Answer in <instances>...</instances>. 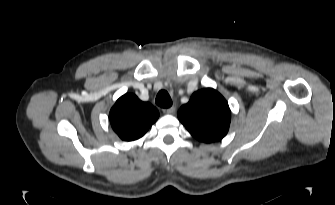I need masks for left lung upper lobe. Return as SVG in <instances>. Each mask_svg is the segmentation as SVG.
Instances as JSON below:
<instances>
[{"label":"left lung upper lobe","instance_id":"left-lung-upper-lobe-1","mask_svg":"<svg viewBox=\"0 0 335 205\" xmlns=\"http://www.w3.org/2000/svg\"><path fill=\"white\" fill-rule=\"evenodd\" d=\"M178 118L199 141L221 140L228 132L231 112L224 97L212 88L195 92L178 112Z\"/></svg>","mask_w":335,"mask_h":205}]
</instances>
